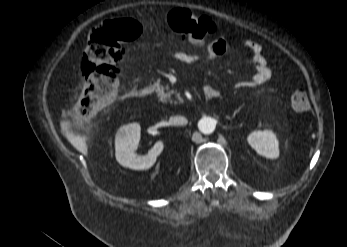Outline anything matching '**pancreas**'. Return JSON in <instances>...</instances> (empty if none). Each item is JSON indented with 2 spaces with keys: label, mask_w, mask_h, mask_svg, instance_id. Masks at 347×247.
<instances>
[{
  "label": "pancreas",
  "mask_w": 347,
  "mask_h": 247,
  "mask_svg": "<svg viewBox=\"0 0 347 247\" xmlns=\"http://www.w3.org/2000/svg\"><path fill=\"white\" fill-rule=\"evenodd\" d=\"M152 88L157 93L158 97L162 102H172L171 95L175 93L174 90H169L168 86H163L159 82H155ZM177 98L180 99L179 94H177Z\"/></svg>",
  "instance_id": "pancreas-1"
}]
</instances>
